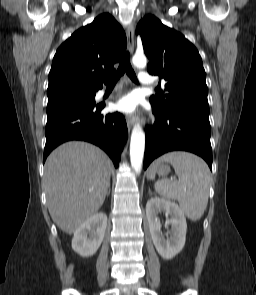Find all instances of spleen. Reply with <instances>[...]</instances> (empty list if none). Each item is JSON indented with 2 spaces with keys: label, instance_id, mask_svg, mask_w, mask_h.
<instances>
[{
  "label": "spleen",
  "instance_id": "spleen-1",
  "mask_svg": "<svg viewBox=\"0 0 256 295\" xmlns=\"http://www.w3.org/2000/svg\"><path fill=\"white\" fill-rule=\"evenodd\" d=\"M162 162H169L175 169L178 181L162 179L155 183V190L161 196L177 200L182 211L193 221L199 220L208 204L211 180L207 164L198 156L188 152H170L156 160L149 170V178Z\"/></svg>",
  "mask_w": 256,
  "mask_h": 295
}]
</instances>
